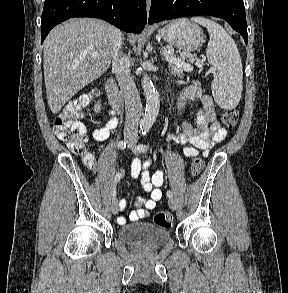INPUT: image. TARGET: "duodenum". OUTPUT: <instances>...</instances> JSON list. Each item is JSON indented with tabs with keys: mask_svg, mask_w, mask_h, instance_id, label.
<instances>
[{
	"mask_svg": "<svg viewBox=\"0 0 288 293\" xmlns=\"http://www.w3.org/2000/svg\"><path fill=\"white\" fill-rule=\"evenodd\" d=\"M106 91H107L110 104L115 108L120 107L122 104L123 98L114 80L110 79L107 81Z\"/></svg>",
	"mask_w": 288,
	"mask_h": 293,
	"instance_id": "1",
	"label": "duodenum"
}]
</instances>
